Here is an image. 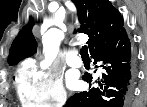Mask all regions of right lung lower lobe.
Segmentation results:
<instances>
[{"mask_svg":"<svg viewBox=\"0 0 147 107\" xmlns=\"http://www.w3.org/2000/svg\"><path fill=\"white\" fill-rule=\"evenodd\" d=\"M102 76L96 81L98 87L76 93L64 107H128L136 77L135 60L131 43L123 27L113 38L94 49L91 53ZM83 79L91 83L92 75Z\"/></svg>","mask_w":147,"mask_h":107,"instance_id":"1","label":"right lung lower lobe"}]
</instances>
